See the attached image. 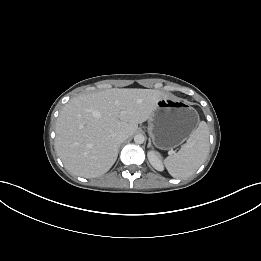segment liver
Segmentation results:
<instances>
[{
    "label": "liver",
    "mask_w": 261,
    "mask_h": 261,
    "mask_svg": "<svg viewBox=\"0 0 261 261\" xmlns=\"http://www.w3.org/2000/svg\"><path fill=\"white\" fill-rule=\"evenodd\" d=\"M166 97L153 89L113 88L70 99L55 127V149L66 169L85 178L105 174L118 156L113 134L133 135Z\"/></svg>",
    "instance_id": "1"
}]
</instances>
